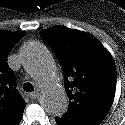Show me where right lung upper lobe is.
<instances>
[{
  "instance_id": "cb5924a9",
  "label": "right lung upper lobe",
  "mask_w": 125,
  "mask_h": 125,
  "mask_svg": "<svg viewBox=\"0 0 125 125\" xmlns=\"http://www.w3.org/2000/svg\"><path fill=\"white\" fill-rule=\"evenodd\" d=\"M26 34L24 31H0V125L24 110L26 102L16 89V76L7 64L13 47Z\"/></svg>"
}]
</instances>
